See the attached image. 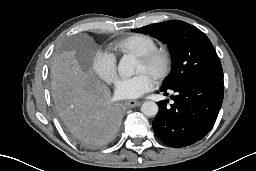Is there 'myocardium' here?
I'll return each mask as SVG.
<instances>
[{
    "label": "myocardium",
    "instance_id": "f54148a6",
    "mask_svg": "<svg viewBox=\"0 0 256 171\" xmlns=\"http://www.w3.org/2000/svg\"><path fill=\"white\" fill-rule=\"evenodd\" d=\"M152 73L155 82L163 81L171 70V57L167 50L156 48L137 56Z\"/></svg>",
    "mask_w": 256,
    "mask_h": 171
}]
</instances>
